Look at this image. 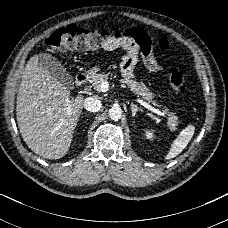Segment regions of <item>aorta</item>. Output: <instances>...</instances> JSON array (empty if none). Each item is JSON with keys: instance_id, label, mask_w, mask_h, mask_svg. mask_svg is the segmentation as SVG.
Listing matches in <instances>:
<instances>
[{"instance_id": "762f6f07", "label": "aorta", "mask_w": 228, "mask_h": 228, "mask_svg": "<svg viewBox=\"0 0 228 228\" xmlns=\"http://www.w3.org/2000/svg\"><path fill=\"white\" fill-rule=\"evenodd\" d=\"M109 119L112 120V121H118L121 119L122 117V110L118 107H112L110 110H109Z\"/></svg>"}]
</instances>
